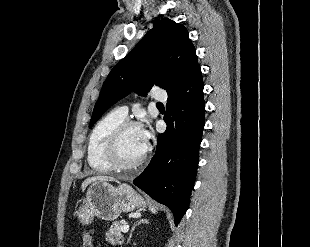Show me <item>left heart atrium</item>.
<instances>
[{"mask_svg": "<svg viewBox=\"0 0 310 247\" xmlns=\"http://www.w3.org/2000/svg\"><path fill=\"white\" fill-rule=\"evenodd\" d=\"M142 131H143V136H144L145 141L148 142V138H149L148 132L144 129H142Z\"/></svg>", "mask_w": 310, "mask_h": 247, "instance_id": "left-heart-atrium-1", "label": "left heart atrium"}]
</instances>
